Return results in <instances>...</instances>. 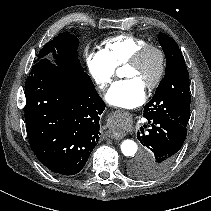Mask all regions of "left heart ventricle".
<instances>
[{"mask_svg": "<svg viewBox=\"0 0 211 211\" xmlns=\"http://www.w3.org/2000/svg\"><path fill=\"white\" fill-rule=\"evenodd\" d=\"M158 71V57L155 53L148 54L138 65H127L125 75L138 79L145 87L155 78Z\"/></svg>", "mask_w": 211, "mask_h": 211, "instance_id": "obj_1", "label": "left heart ventricle"}]
</instances>
